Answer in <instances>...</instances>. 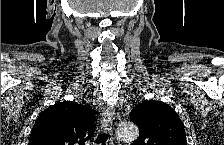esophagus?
Segmentation results:
<instances>
[{
  "mask_svg": "<svg viewBox=\"0 0 224 145\" xmlns=\"http://www.w3.org/2000/svg\"><path fill=\"white\" fill-rule=\"evenodd\" d=\"M113 118H114V109L113 107H109L102 114L101 124H102L103 130L109 133L110 135L112 134Z\"/></svg>",
  "mask_w": 224,
  "mask_h": 145,
  "instance_id": "1",
  "label": "esophagus"
}]
</instances>
